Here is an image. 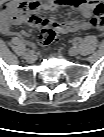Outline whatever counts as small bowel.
<instances>
[{"mask_svg":"<svg viewBox=\"0 0 104 137\" xmlns=\"http://www.w3.org/2000/svg\"><path fill=\"white\" fill-rule=\"evenodd\" d=\"M67 6L79 10L87 20H78L71 23L58 24L43 16V21L33 22V16L39 10L54 11L59 7ZM41 14V13H40ZM104 6L98 0H31L12 1L6 3L0 12V30L4 35L23 38L26 31L14 32L12 25L31 24L34 26L55 27L62 34L73 32H98L103 27Z\"/></svg>","mask_w":104,"mask_h":137,"instance_id":"c3829d8e","label":"small bowel"}]
</instances>
